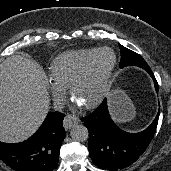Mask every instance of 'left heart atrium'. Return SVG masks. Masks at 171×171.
<instances>
[{"mask_svg":"<svg viewBox=\"0 0 171 171\" xmlns=\"http://www.w3.org/2000/svg\"><path fill=\"white\" fill-rule=\"evenodd\" d=\"M77 105H80L77 101L75 102Z\"/></svg>","mask_w":171,"mask_h":171,"instance_id":"obj_1","label":"left heart atrium"}]
</instances>
